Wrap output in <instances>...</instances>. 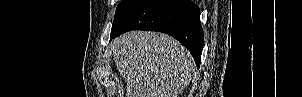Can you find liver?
I'll return each instance as SVG.
<instances>
[{
  "label": "liver",
  "mask_w": 302,
  "mask_h": 97,
  "mask_svg": "<svg viewBox=\"0 0 302 97\" xmlns=\"http://www.w3.org/2000/svg\"><path fill=\"white\" fill-rule=\"evenodd\" d=\"M113 51L126 97H178L196 70L187 49L164 33L127 32L114 40Z\"/></svg>",
  "instance_id": "1"
}]
</instances>
